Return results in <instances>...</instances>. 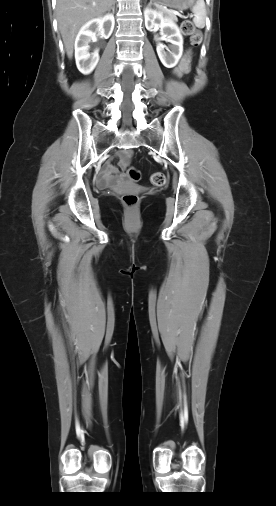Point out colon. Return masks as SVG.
Wrapping results in <instances>:
<instances>
[{
    "instance_id": "5ec220e1",
    "label": "colon",
    "mask_w": 276,
    "mask_h": 506,
    "mask_svg": "<svg viewBox=\"0 0 276 506\" xmlns=\"http://www.w3.org/2000/svg\"><path fill=\"white\" fill-rule=\"evenodd\" d=\"M182 33L190 39L192 45H199L202 42L203 35L201 31L195 28L190 20H184L181 24ZM128 174L134 181L141 179V172L135 168H129ZM150 181L155 186H162L166 183V177L161 172L153 173ZM122 202L129 209H134L139 202V197L134 193H125L122 196Z\"/></svg>"
}]
</instances>
